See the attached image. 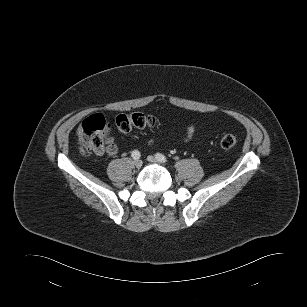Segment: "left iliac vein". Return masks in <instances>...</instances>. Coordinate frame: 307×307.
<instances>
[{"label":"left iliac vein","instance_id":"left-iliac-vein-1","mask_svg":"<svg viewBox=\"0 0 307 307\" xmlns=\"http://www.w3.org/2000/svg\"><path fill=\"white\" fill-rule=\"evenodd\" d=\"M147 160L151 163H159L160 161L157 160L154 156H148Z\"/></svg>","mask_w":307,"mask_h":307}]
</instances>
